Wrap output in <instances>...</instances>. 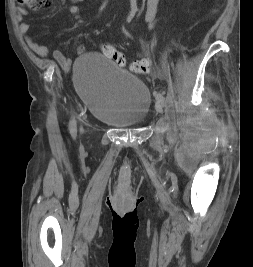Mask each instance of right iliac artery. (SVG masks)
<instances>
[{
    "label": "right iliac artery",
    "mask_w": 253,
    "mask_h": 267,
    "mask_svg": "<svg viewBox=\"0 0 253 267\" xmlns=\"http://www.w3.org/2000/svg\"><path fill=\"white\" fill-rule=\"evenodd\" d=\"M70 133L72 137L75 139L77 135V128H76V120L73 118L70 122Z\"/></svg>",
    "instance_id": "right-iliac-artery-1"
}]
</instances>
